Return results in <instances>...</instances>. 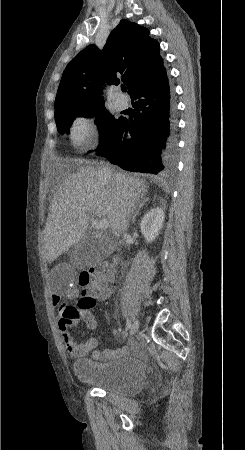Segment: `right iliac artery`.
<instances>
[{"mask_svg": "<svg viewBox=\"0 0 245 450\" xmlns=\"http://www.w3.org/2000/svg\"><path fill=\"white\" fill-rule=\"evenodd\" d=\"M130 327H131V321H130L129 318H127V323H126V329H125V330H126V331L129 330Z\"/></svg>", "mask_w": 245, "mask_h": 450, "instance_id": "1", "label": "right iliac artery"}]
</instances>
